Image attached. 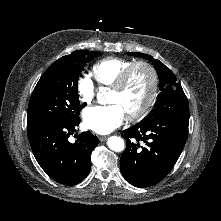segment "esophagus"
Listing matches in <instances>:
<instances>
[{"mask_svg": "<svg viewBox=\"0 0 221 221\" xmlns=\"http://www.w3.org/2000/svg\"><path fill=\"white\" fill-rule=\"evenodd\" d=\"M107 139V136H99V140L101 142L105 141Z\"/></svg>", "mask_w": 221, "mask_h": 221, "instance_id": "esophagus-1", "label": "esophagus"}]
</instances>
